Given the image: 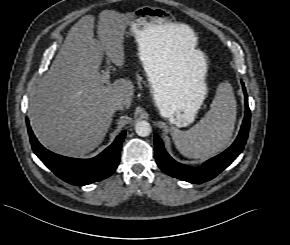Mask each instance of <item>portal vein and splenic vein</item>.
Here are the masks:
<instances>
[{
	"label": "portal vein and splenic vein",
	"mask_w": 290,
	"mask_h": 245,
	"mask_svg": "<svg viewBox=\"0 0 290 245\" xmlns=\"http://www.w3.org/2000/svg\"><path fill=\"white\" fill-rule=\"evenodd\" d=\"M100 80L103 84H107L109 82V72L106 71L100 76Z\"/></svg>",
	"instance_id": "obj_1"
}]
</instances>
